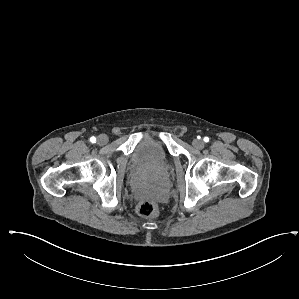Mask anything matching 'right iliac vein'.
<instances>
[{
    "label": "right iliac vein",
    "mask_w": 299,
    "mask_h": 299,
    "mask_svg": "<svg viewBox=\"0 0 299 299\" xmlns=\"http://www.w3.org/2000/svg\"><path fill=\"white\" fill-rule=\"evenodd\" d=\"M108 142V137L105 134H101L97 137V143L99 145H105Z\"/></svg>",
    "instance_id": "obj_1"
}]
</instances>
